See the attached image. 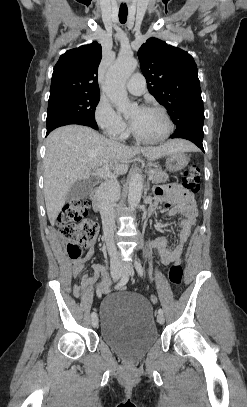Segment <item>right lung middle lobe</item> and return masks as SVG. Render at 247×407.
Returning a JSON list of instances; mask_svg holds the SVG:
<instances>
[{"instance_id":"obj_1","label":"right lung middle lobe","mask_w":247,"mask_h":407,"mask_svg":"<svg viewBox=\"0 0 247 407\" xmlns=\"http://www.w3.org/2000/svg\"><path fill=\"white\" fill-rule=\"evenodd\" d=\"M99 99L100 93L64 91L50 94L46 119L47 127L65 120L97 125L95 108Z\"/></svg>"}]
</instances>
